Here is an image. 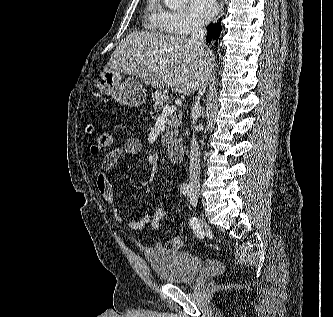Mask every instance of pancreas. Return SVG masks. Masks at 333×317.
<instances>
[{"instance_id": "cf45deb5", "label": "pancreas", "mask_w": 333, "mask_h": 317, "mask_svg": "<svg viewBox=\"0 0 333 317\" xmlns=\"http://www.w3.org/2000/svg\"><path fill=\"white\" fill-rule=\"evenodd\" d=\"M151 100L154 103V110L160 111L167 103H170L169 96L166 91H156L151 95ZM182 115H174L166 127L165 133L162 135L163 145L177 137L178 127L181 125Z\"/></svg>"}]
</instances>
